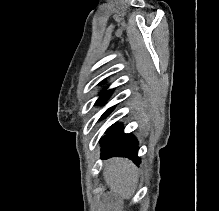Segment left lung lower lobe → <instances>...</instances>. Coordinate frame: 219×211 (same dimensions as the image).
I'll return each instance as SVG.
<instances>
[{
    "label": "left lung lower lobe",
    "instance_id": "0a47b994",
    "mask_svg": "<svg viewBox=\"0 0 219 211\" xmlns=\"http://www.w3.org/2000/svg\"><path fill=\"white\" fill-rule=\"evenodd\" d=\"M109 133L100 141L102 145L101 158L107 159L114 156L127 157L133 159L136 164H139L137 139L132 134H125L120 124L116 125Z\"/></svg>",
    "mask_w": 219,
    "mask_h": 211
}]
</instances>
